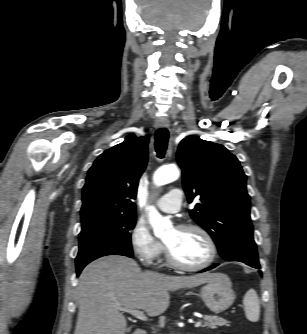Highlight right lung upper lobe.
Instances as JSON below:
<instances>
[{
    "instance_id": "obj_1",
    "label": "right lung upper lobe",
    "mask_w": 307,
    "mask_h": 334,
    "mask_svg": "<svg viewBox=\"0 0 307 334\" xmlns=\"http://www.w3.org/2000/svg\"><path fill=\"white\" fill-rule=\"evenodd\" d=\"M148 137L128 135L103 152L88 171L81 217L94 214L136 216L133 200L148 161Z\"/></svg>"
}]
</instances>
